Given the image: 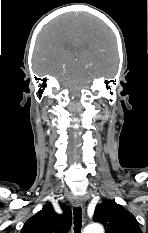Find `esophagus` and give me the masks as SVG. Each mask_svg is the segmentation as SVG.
<instances>
[{
    "label": "esophagus",
    "instance_id": "1",
    "mask_svg": "<svg viewBox=\"0 0 148 233\" xmlns=\"http://www.w3.org/2000/svg\"><path fill=\"white\" fill-rule=\"evenodd\" d=\"M73 204L76 207H81L82 209H84V200L81 197H75L73 200Z\"/></svg>",
    "mask_w": 148,
    "mask_h": 233
}]
</instances>
